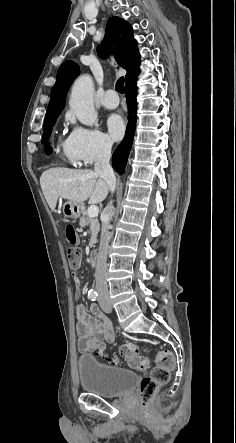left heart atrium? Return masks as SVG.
Wrapping results in <instances>:
<instances>
[{
    "mask_svg": "<svg viewBox=\"0 0 236 443\" xmlns=\"http://www.w3.org/2000/svg\"><path fill=\"white\" fill-rule=\"evenodd\" d=\"M105 126L111 139L118 140L124 134V123L117 114H111L105 119Z\"/></svg>",
    "mask_w": 236,
    "mask_h": 443,
    "instance_id": "1",
    "label": "left heart atrium"
}]
</instances>
